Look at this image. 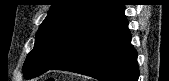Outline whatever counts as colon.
I'll return each mask as SVG.
<instances>
[{"label": "colon", "mask_w": 169, "mask_h": 81, "mask_svg": "<svg viewBox=\"0 0 169 81\" xmlns=\"http://www.w3.org/2000/svg\"><path fill=\"white\" fill-rule=\"evenodd\" d=\"M46 81H56V80H55V78H53V77H48V78L46 79Z\"/></svg>", "instance_id": "1"}]
</instances>
